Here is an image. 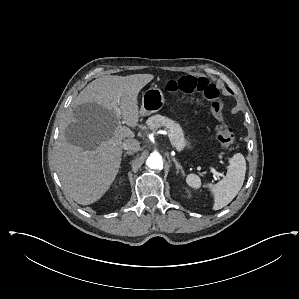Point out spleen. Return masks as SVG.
<instances>
[{
  "mask_svg": "<svg viewBox=\"0 0 299 299\" xmlns=\"http://www.w3.org/2000/svg\"><path fill=\"white\" fill-rule=\"evenodd\" d=\"M246 172V161L241 153L234 154L229 159V166L226 176L216 185L208 184L214 195L213 210H219L228 205L242 188ZM186 183L194 188L201 187V179L195 174H189L186 177Z\"/></svg>",
  "mask_w": 299,
  "mask_h": 299,
  "instance_id": "1",
  "label": "spleen"
}]
</instances>
